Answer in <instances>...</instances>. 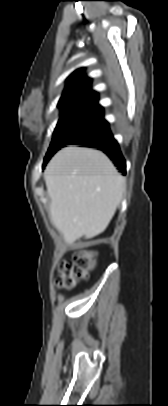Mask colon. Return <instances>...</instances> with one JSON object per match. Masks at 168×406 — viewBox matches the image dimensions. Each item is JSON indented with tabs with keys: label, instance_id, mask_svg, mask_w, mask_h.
Masks as SVG:
<instances>
[{
	"label": "colon",
	"instance_id": "obj_1",
	"mask_svg": "<svg viewBox=\"0 0 168 406\" xmlns=\"http://www.w3.org/2000/svg\"><path fill=\"white\" fill-rule=\"evenodd\" d=\"M94 266L95 253L79 246L72 258L63 260L60 263L55 284L61 289H72L79 282L88 279Z\"/></svg>",
	"mask_w": 168,
	"mask_h": 406
}]
</instances>
